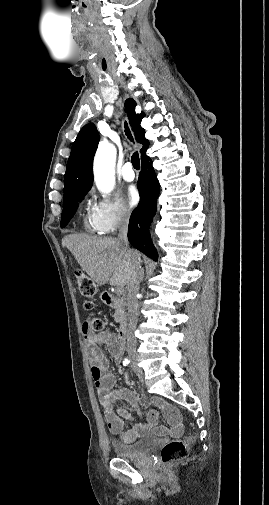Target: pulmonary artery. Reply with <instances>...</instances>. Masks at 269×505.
<instances>
[{"label":"pulmonary artery","mask_w":269,"mask_h":505,"mask_svg":"<svg viewBox=\"0 0 269 505\" xmlns=\"http://www.w3.org/2000/svg\"><path fill=\"white\" fill-rule=\"evenodd\" d=\"M121 176L126 181H133L135 179V173L131 162H126L121 168Z\"/></svg>","instance_id":"1"}]
</instances>
